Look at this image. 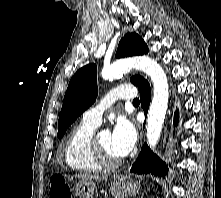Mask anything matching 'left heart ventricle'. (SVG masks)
Instances as JSON below:
<instances>
[{
    "mask_svg": "<svg viewBox=\"0 0 221 198\" xmlns=\"http://www.w3.org/2000/svg\"><path fill=\"white\" fill-rule=\"evenodd\" d=\"M98 140L105 151L113 158H120L112 149L111 146V133L108 131H103L98 135Z\"/></svg>",
    "mask_w": 221,
    "mask_h": 198,
    "instance_id": "b2bd125f",
    "label": "left heart ventricle"
}]
</instances>
